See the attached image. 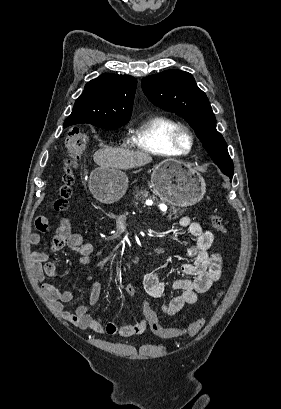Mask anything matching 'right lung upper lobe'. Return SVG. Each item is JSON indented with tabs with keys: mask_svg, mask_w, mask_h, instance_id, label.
<instances>
[{
	"mask_svg": "<svg viewBox=\"0 0 281 409\" xmlns=\"http://www.w3.org/2000/svg\"><path fill=\"white\" fill-rule=\"evenodd\" d=\"M137 80L106 73L91 80L74 104L64 127L79 123L120 124L131 117Z\"/></svg>",
	"mask_w": 281,
	"mask_h": 409,
	"instance_id": "obj_1",
	"label": "right lung upper lobe"
}]
</instances>
